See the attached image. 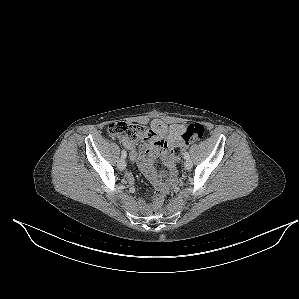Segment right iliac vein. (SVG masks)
I'll list each match as a JSON object with an SVG mask.
<instances>
[{
    "label": "right iliac vein",
    "instance_id": "right-iliac-vein-1",
    "mask_svg": "<svg viewBox=\"0 0 299 299\" xmlns=\"http://www.w3.org/2000/svg\"><path fill=\"white\" fill-rule=\"evenodd\" d=\"M117 167H118V169L121 170V171L125 169V167H126V162H125L124 158H121V159L118 161V163H117Z\"/></svg>",
    "mask_w": 299,
    "mask_h": 299
}]
</instances>
